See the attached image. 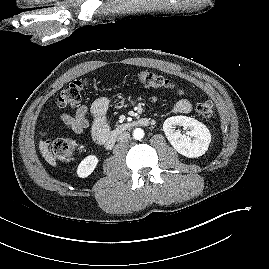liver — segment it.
<instances>
[{"instance_id": "6515ba94", "label": "liver", "mask_w": 269, "mask_h": 269, "mask_svg": "<svg viewBox=\"0 0 269 269\" xmlns=\"http://www.w3.org/2000/svg\"><path fill=\"white\" fill-rule=\"evenodd\" d=\"M39 149L41 151L42 156L52 166H56V161L53 158L52 154L49 152L48 146L44 141L39 142Z\"/></svg>"}]
</instances>
